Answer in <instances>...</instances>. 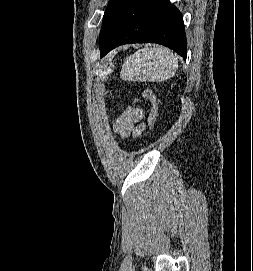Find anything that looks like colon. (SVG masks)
Masks as SVG:
<instances>
[{
  "instance_id": "obj_1",
  "label": "colon",
  "mask_w": 253,
  "mask_h": 271,
  "mask_svg": "<svg viewBox=\"0 0 253 271\" xmlns=\"http://www.w3.org/2000/svg\"><path fill=\"white\" fill-rule=\"evenodd\" d=\"M143 96L146 100L149 101L151 105V114H150V128L154 131L157 128L159 117H160V101L157 94L152 89H146L143 93Z\"/></svg>"
}]
</instances>
